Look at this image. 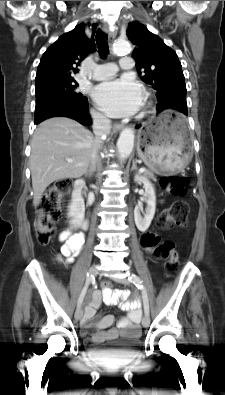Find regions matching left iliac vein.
Instances as JSON below:
<instances>
[{
  "instance_id": "obj_1",
  "label": "left iliac vein",
  "mask_w": 225,
  "mask_h": 395,
  "mask_svg": "<svg viewBox=\"0 0 225 395\" xmlns=\"http://www.w3.org/2000/svg\"><path fill=\"white\" fill-rule=\"evenodd\" d=\"M114 280L121 284H125V285L129 284V280L127 278H115ZM149 324H150V317L149 315L145 314L142 318V325L143 327H148Z\"/></svg>"
}]
</instances>
